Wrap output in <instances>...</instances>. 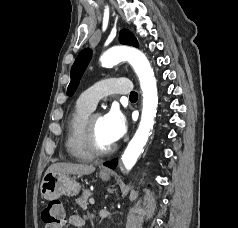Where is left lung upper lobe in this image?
<instances>
[{
  "label": "left lung upper lobe",
  "instance_id": "5c2ea615",
  "mask_svg": "<svg viewBox=\"0 0 238 228\" xmlns=\"http://www.w3.org/2000/svg\"><path fill=\"white\" fill-rule=\"evenodd\" d=\"M119 40L122 44L138 47L137 39L127 29L121 30ZM91 56H92V51L89 48L82 50L78 54L73 66L71 68V74H70L71 81H70V84L67 89L68 96H72L74 94V92L76 91V89L79 85V81H80V79H81L90 59H91Z\"/></svg>",
  "mask_w": 238,
  "mask_h": 228
}]
</instances>
